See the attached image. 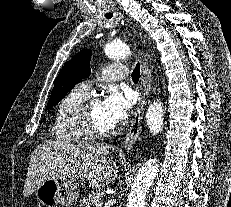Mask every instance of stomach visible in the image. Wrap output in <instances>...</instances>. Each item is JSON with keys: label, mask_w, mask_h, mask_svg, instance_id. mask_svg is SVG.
I'll return each instance as SVG.
<instances>
[{"label": "stomach", "mask_w": 231, "mask_h": 207, "mask_svg": "<svg viewBox=\"0 0 231 207\" xmlns=\"http://www.w3.org/2000/svg\"><path fill=\"white\" fill-rule=\"evenodd\" d=\"M36 199L45 207H69L78 194L77 183L66 177L45 179L34 192Z\"/></svg>", "instance_id": "0dacf381"}]
</instances>
